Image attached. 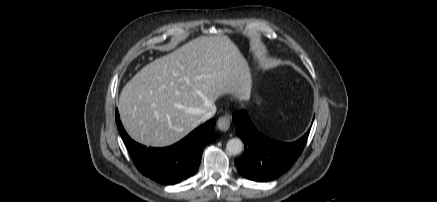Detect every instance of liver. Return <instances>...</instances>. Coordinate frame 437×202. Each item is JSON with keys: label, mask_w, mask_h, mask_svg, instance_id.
Returning <instances> with one entry per match:
<instances>
[{"label": "liver", "mask_w": 437, "mask_h": 202, "mask_svg": "<svg viewBox=\"0 0 437 202\" xmlns=\"http://www.w3.org/2000/svg\"><path fill=\"white\" fill-rule=\"evenodd\" d=\"M249 65L226 36H200L144 66L117 104L130 137L146 146L172 145L199 124L221 96L248 98Z\"/></svg>", "instance_id": "6515ba94"}]
</instances>
